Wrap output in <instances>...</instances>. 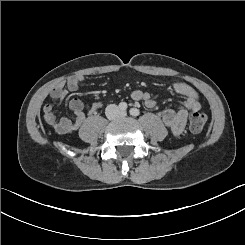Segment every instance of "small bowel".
<instances>
[{
    "mask_svg": "<svg viewBox=\"0 0 245 245\" xmlns=\"http://www.w3.org/2000/svg\"><path fill=\"white\" fill-rule=\"evenodd\" d=\"M84 81L83 76H73L64 82L59 83L50 92V98L56 101L63 100L69 92L76 91ZM174 92L184 97V101L177 110L166 109L162 114L164 125L175 135L178 136L184 130L190 111H198L201 103L197 91L187 82L176 81L172 84ZM135 102H142L146 107L152 108L156 105L155 98L149 93L135 90L131 94ZM102 102H95L91 106L90 113L95 114L102 107ZM68 106L74 114V119L66 117L58 118L53 111V106L46 103L43 106V116L45 122L57 133L66 134L77 130L86 119L84 104L77 98L69 101Z\"/></svg>",
    "mask_w": 245,
    "mask_h": 245,
    "instance_id": "obj_1",
    "label": "small bowel"
}]
</instances>
